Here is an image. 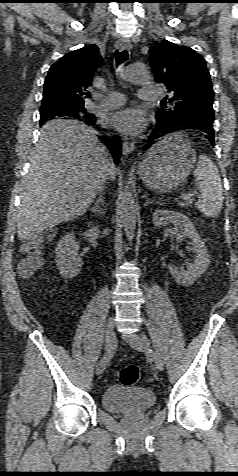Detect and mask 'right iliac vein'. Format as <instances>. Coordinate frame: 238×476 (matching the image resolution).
<instances>
[{"instance_id": "right-iliac-vein-1", "label": "right iliac vein", "mask_w": 238, "mask_h": 476, "mask_svg": "<svg viewBox=\"0 0 238 476\" xmlns=\"http://www.w3.org/2000/svg\"><path fill=\"white\" fill-rule=\"evenodd\" d=\"M105 349L106 351L108 352L110 350L111 347H109V337L110 338H115V332H114V320L113 318L111 317L107 324H106V327H105ZM110 341H112V339H110ZM106 365H107V355H105L104 357L101 358V360L98 362V364L96 365V374L97 375H100L104 372L105 368H106Z\"/></svg>"}]
</instances>
